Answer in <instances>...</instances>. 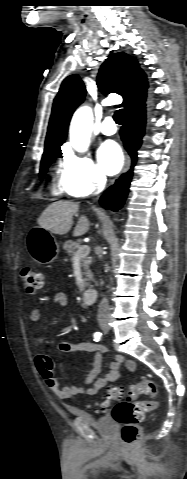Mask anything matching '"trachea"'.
Listing matches in <instances>:
<instances>
[{
	"mask_svg": "<svg viewBox=\"0 0 187 479\" xmlns=\"http://www.w3.org/2000/svg\"><path fill=\"white\" fill-rule=\"evenodd\" d=\"M123 117H124V110L123 109H119L117 110L115 113H114V121L121 125L123 123Z\"/></svg>",
	"mask_w": 187,
	"mask_h": 479,
	"instance_id": "trachea-1",
	"label": "trachea"
}]
</instances>
